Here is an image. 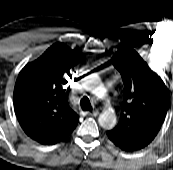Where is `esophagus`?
I'll use <instances>...</instances> for the list:
<instances>
[{"label": "esophagus", "mask_w": 173, "mask_h": 170, "mask_svg": "<svg viewBox=\"0 0 173 170\" xmlns=\"http://www.w3.org/2000/svg\"><path fill=\"white\" fill-rule=\"evenodd\" d=\"M86 114L91 115V116H97L99 114V110H94L92 112L87 111Z\"/></svg>", "instance_id": "1"}]
</instances>
